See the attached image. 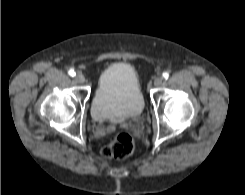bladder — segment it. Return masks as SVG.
Wrapping results in <instances>:
<instances>
[{
  "mask_svg": "<svg viewBox=\"0 0 245 195\" xmlns=\"http://www.w3.org/2000/svg\"><path fill=\"white\" fill-rule=\"evenodd\" d=\"M143 109L144 98L135 69L124 62L104 69L91 103L92 118L100 123H120L139 117Z\"/></svg>",
  "mask_w": 245,
  "mask_h": 195,
  "instance_id": "obj_1",
  "label": "bladder"
}]
</instances>
